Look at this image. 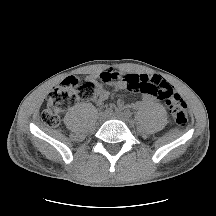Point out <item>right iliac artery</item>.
Instances as JSON below:
<instances>
[{
  "mask_svg": "<svg viewBox=\"0 0 216 216\" xmlns=\"http://www.w3.org/2000/svg\"><path fill=\"white\" fill-rule=\"evenodd\" d=\"M105 112H106L107 114H111V113L113 112V109H112V108H107V109L105 110Z\"/></svg>",
  "mask_w": 216,
  "mask_h": 216,
  "instance_id": "right-iliac-artery-1",
  "label": "right iliac artery"
}]
</instances>
